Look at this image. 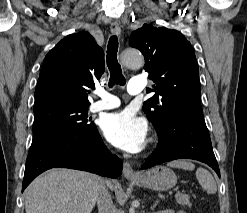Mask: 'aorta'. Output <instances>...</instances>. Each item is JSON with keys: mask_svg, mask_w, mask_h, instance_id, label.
Masks as SVG:
<instances>
[{"mask_svg": "<svg viewBox=\"0 0 247 213\" xmlns=\"http://www.w3.org/2000/svg\"><path fill=\"white\" fill-rule=\"evenodd\" d=\"M122 63L126 67L139 68L144 63L142 54L135 49H126L121 54Z\"/></svg>", "mask_w": 247, "mask_h": 213, "instance_id": "aorta-1", "label": "aorta"}]
</instances>
